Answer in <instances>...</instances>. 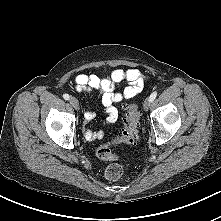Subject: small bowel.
<instances>
[{
  "label": "small bowel",
  "mask_w": 221,
  "mask_h": 221,
  "mask_svg": "<svg viewBox=\"0 0 221 221\" xmlns=\"http://www.w3.org/2000/svg\"><path fill=\"white\" fill-rule=\"evenodd\" d=\"M147 77L136 68L127 70L114 69L108 77L97 75L78 74L74 78V89L77 92L98 93L101 99V107L105 112L106 124L114 123L118 118L116 104L129 100L141 92ZM125 84L121 91L116 87ZM95 117V112L84 113L85 122H90ZM84 135L88 141L102 139L104 131H92L85 127Z\"/></svg>",
  "instance_id": "c3829d8e"
}]
</instances>
